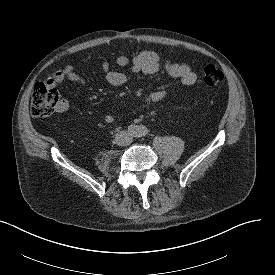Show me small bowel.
Masks as SVG:
<instances>
[{"label": "small bowel", "instance_id": "c3829d8e", "mask_svg": "<svg viewBox=\"0 0 275 275\" xmlns=\"http://www.w3.org/2000/svg\"><path fill=\"white\" fill-rule=\"evenodd\" d=\"M118 67H129L130 71L135 74L153 75L158 72L165 73L168 77L178 79L185 86H191L196 83L197 76L195 72L186 64H178L173 62H164L153 51L142 52L132 59L126 56H119L116 59ZM101 70L105 76L106 81L112 86H121L127 81V76L119 71L111 68L108 61H103ZM72 81L80 85H85V80L81 77L72 65H67L64 68L56 71L48 80L50 86H55L63 81ZM166 97V91L158 89L150 92L143 99L142 105L146 106L151 103L162 101ZM68 103L66 100H61L57 108L58 113L66 111ZM106 123L112 124L115 122V116L108 113L104 116Z\"/></svg>", "mask_w": 275, "mask_h": 275}]
</instances>
